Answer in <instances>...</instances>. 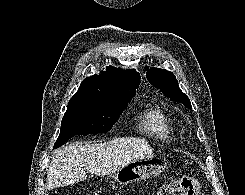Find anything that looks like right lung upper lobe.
I'll use <instances>...</instances> for the list:
<instances>
[{
	"label": "right lung upper lobe",
	"instance_id": "cb5924a9",
	"mask_svg": "<svg viewBox=\"0 0 245 195\" xmlns=\"http://www.w3.org/2000/svg\"><path fill=\"white\" fill-rule=\"evenodd\" d=\"M140 84L136 70H122L109 66L99 75L84 79L74 96L91 97L109 101L130 100Z\"/></svg>",
	"mask_w": 245,
	"mask_h": 195
}]
</instances>
